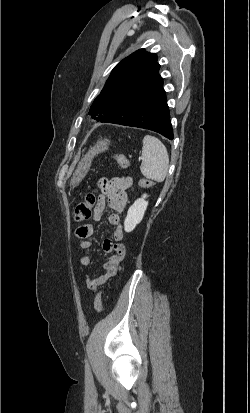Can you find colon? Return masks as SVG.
<instances>
[{"label":"colon","instance_id":"colon-1","mask_svg":"<svg viewBox=\"0 0 250 413\" xmlns=\"http://www.w3.org/2000/svg\"><path fill=\"white\" fill-rule=\"evenodd\" d=\"M115 161L123 168H128L130 162L127 157L124 155H116ZM139 185L141 187H149L155 185L154 179H141L139 181ZM97 202V195L96 192H89L85 195L84 199L76 206L74 211L75 220L78 222L85 221L89 219L92 215V209ZM94 307L97 312H101L103 309L102 303V292L96 294L94 299Z\"/></svg>","mask_w":250,"mask_h":413}]
</instances>
